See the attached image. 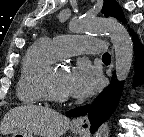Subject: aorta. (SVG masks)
<instances>
[{"label":"aorta","mask_w":144,"mask_h":137,"mask_svg":"<svg viewBox=\"0 0 144 137\" xmlns=\"http://www.w3.org/2000/svg\"><path fill=\"white\" fill-rule=\"evenodd\" d=\"M69 28L74 32H107L111 38L115 51V70L118 82L127 79L133 61V43L126 28L116 20L108 19H77L69 24ZM110 133V123L107 120L96 131L95 137H108Z\"/></svg>","instance_id":"obj_1"}]
</instances>
